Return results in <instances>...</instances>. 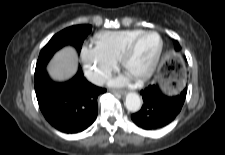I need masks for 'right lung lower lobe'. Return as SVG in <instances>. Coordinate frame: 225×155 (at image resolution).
I'll return each mask as SVG.
<instances>
[{
	"label": "right lung lower lobe",
	"instance_id": "obj_1",
	"mask_svg": "<svg viewBox=\"0 0 225 155\" xmlns=\"http://www.w3.org/2000/svg\"><path fill=\"white\" fill-rule=\"evenodd\" d=\"M45 67L35 72V92L46 120L64 133H78L88 128L97 117V97L106 89L88 82L81 68L66 82H52Z\"/></svg>",
	"mask_w": 225,
	"mask_h": 155
}]
</instances>
